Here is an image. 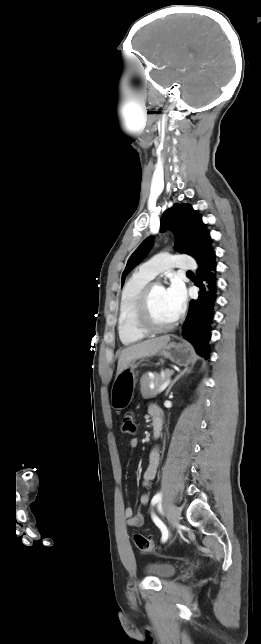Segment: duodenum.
<instances>
[{
  "label": "duodenum",
  "instance_id": "410a0bca",
  "mask_svg": "<svg viewBox=\"0 0 261 644\" xmlns=\"http://www.w3.org/2000/svg\"><path fill=\"white\" fill-rule=\"evenodd\" d=\"M152 419H153V437L157 439L162 434L163 420L161 415L159 414H155Z\"/></svg>",
  "mask_w": 261,
  "mask_h": 644
}]
</instances>
